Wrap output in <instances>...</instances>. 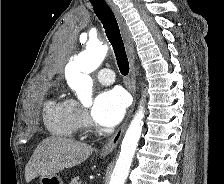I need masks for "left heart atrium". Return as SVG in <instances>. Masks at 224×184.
<instances>
[{
	"label": "left heart atrium",
	"mask_w": 224,
	"mask_h": 184,
	"mask_svg": "<svg viewBox=\"0 0 224 184\" xmlns=\"http://www.w3.org/2000/svg\"><path fill=\"white\" fill-rule=\"evenodd\" d=\"M127 108V96L120 89L100 93L91 109L93 120L103 127H113L123 118Z\"/></svg>",
	"instance_id": "obj_1"
}]
</instances>
